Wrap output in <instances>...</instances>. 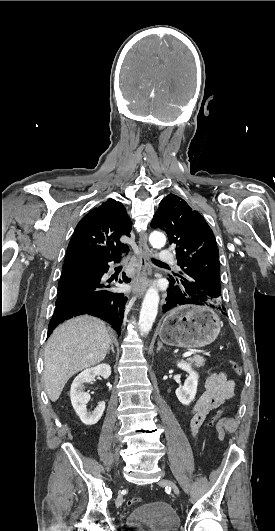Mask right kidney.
Returning <instances> with one entry per match:
<instances>
[{
    "instance_id": "ca27d5eb",
    "label": "right kidney",
    "mask_w": 275,
    "mask_h": 531,
    "mask_svg": "<svg viewBox=\"0 0 275 531\" xmlns=\"http://www.w3.org/2000/svg\"><path fill=\"white\" fill-rule=\"evenodd\" d=\"M97 375H100L103 379H108L111 375L110 365H105V363H103V365H97V367L85 369V371H82L80 375L75 377L71 385L70 399L72 407L84 425H96L105 411L104 401L98 403V407H96L95 411H92V413H88L86 409V405L90 401V395H88V393H83L84 383L95 381Z\"/></svg>"
}]
</instances>
